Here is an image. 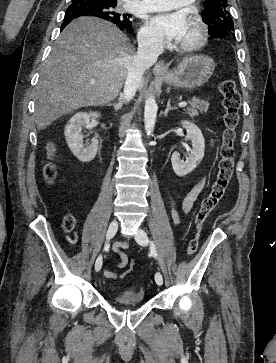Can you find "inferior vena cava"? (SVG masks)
<instances>
[{
    "instance_id": "602c4592",
    "label": "inferior vena cava",
    "mask_w": 276,
    "mask_h": 363,
    "mask_svg": "<svg viewBox=\"0 0 276 363\" xmlns=\"http://www.w3.org/2000/svg\"><path fill=\"white\" fill-rule=\"evenodd\" d=\"M163 38L159 35L144 34L138 39V49L128 64V75L124 85L123 100L129 102L135 96L143 73L154 65L163 53Z\"/></svg>"
}]
</instances>
